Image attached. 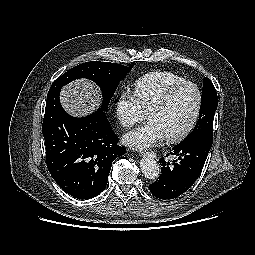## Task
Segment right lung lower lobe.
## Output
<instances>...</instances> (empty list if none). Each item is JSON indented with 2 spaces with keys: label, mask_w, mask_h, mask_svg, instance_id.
<instances>
[{
  "label": "right lung lower lobe",
  "mask_w": 255,
  "mask_h": 255,
  "mask_svg": "<svg viewBox=\"0 0 255 255\" xmlns=\"http://www.w3.org/2000/svg\"><path fill=\"white\" fill-rule=\"evenodd\" d=\"M60 91L47 97L42 132L47 167L69 195L89 199L106 187L115 158L125 154L104 112L72 117L62 108Z\"/></svg>",
  "instance_id": "right-lung-lower-lobe-1"
}]
</instances>
